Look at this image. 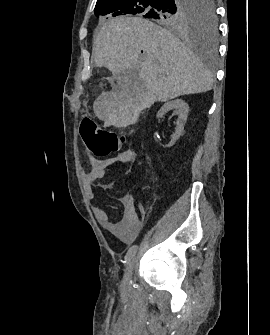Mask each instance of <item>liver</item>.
Masks as SVG:
<instances>
[{
	"label": "liver",
	"instance_id": "1",
	"mask_svg": "<svg viewBox=\"0 0 270 335\" xmlns=\"http://www.w3.org/2000/svg\"><path fill=\"white\" fill-rule=\"evenodd\" d=\"M93 58L98 68L104 66L112 74L136 70L146 106L208 92L213 84L210 72L188 46L145 18L117 16L102 24Z\"/></svg>",
	"mask_w": 270,
	"mask_h": 335
}]
</instances>
